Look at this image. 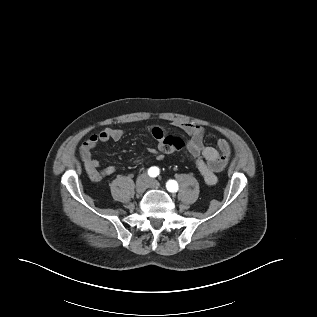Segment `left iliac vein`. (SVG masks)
<instances>
[{
	"instance_id": "1",
	"label": "left iliac vein",
	"mask_w": 317,
	"mask_h": 317,
	"mask_svg": "<svg viewBox=\"0 0 317 317\" xmlns=\"http://www.w3.org/2000/svg\"><path fill=\"white\" fill-rule=\"evenodd\" d=\"M148 187L153 189H158L160 188V183L154 179H149Z\"/></svg>"
}]
</instances>
